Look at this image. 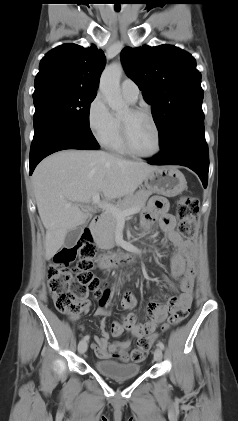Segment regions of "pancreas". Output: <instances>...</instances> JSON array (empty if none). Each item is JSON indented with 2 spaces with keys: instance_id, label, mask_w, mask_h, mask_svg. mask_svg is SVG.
<instances>
[{
  "instance_id": "pancreas-1",
  "label": "pancreas",
  "mask_w": 238,
  "mask_h": 421,
  "mask_svg": "<svg viewBox=\"0 0 238 421\" xmlns=\"http://www.w3.org/2000/svg\"><path fill=\"white\" fill-rule=\"evenodd\" d=\"M152 194L149 190H139L135 194L125 197L123 200L118 201L116 208L119 210H126L129 208H136L139 211L145 207L146 201ZM118 219L111 213L105 212L93 229V236L97 246L101 249L109 250L115 246V233L117 228Z\"/></svg>"
}]
</instances>
